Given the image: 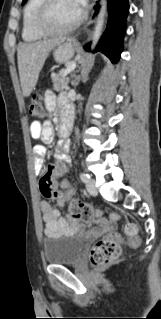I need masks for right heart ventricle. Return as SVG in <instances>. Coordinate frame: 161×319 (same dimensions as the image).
<instances>
[{"label": "right heart ventricle", "mask_w": 161, "mask_h": 319, "mask_svg": "<svg viewBox=\"0 0 161 319\" xmlns=\"http://www.w3.org/2000/svg\"><path fill=\"white\" fill-rule=\"evenodd\" d=\"M42 0H28L22 22V38L24 41H36L44 37L35 27V19Z\"/></svg>", "instance_id": "obj_1"}]
</instances>
